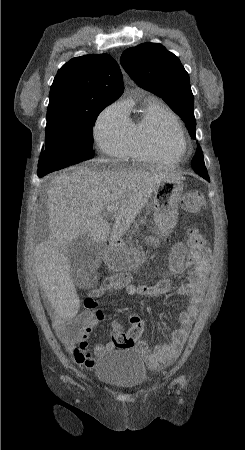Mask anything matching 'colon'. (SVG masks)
Listing matches in <instances>:
<instances>
[{"label":"colon","instance_id":"colon-1","mask_svg":"<svg viewBox=\"0 0 245 450\" xmlns=\"http://www.w3.org/2000/svg\"><path fill=\"white\" fill-rule=\"evenodd\" d=\"M183 209L189 213L198 214L205 210L206 202L201 192L197 190H188L182 198ZM187 244L190 250L197 253L202 260H208L211 257V251L206 245L203 234L198 229H190L186 232ZM130 281L128 272H116L109 276L99 275L96 282L102 290L108 291L113 287L123 286ZM104 313L101 310H94L89 316L82 319H72L60 323L57 328L65 335L68 340L75 341L85 345L84 340L88 331L92 329L91 319L103 320ZM130 329L127 332L114 330L112 333L113 340L120 346H132L139 339L144 329V321L138 315H132L129 319ZM83 360V357H81ZM86 361V357H85Z\"/></svg>","mask_w":245,"mask_h":450}]
</instances>
